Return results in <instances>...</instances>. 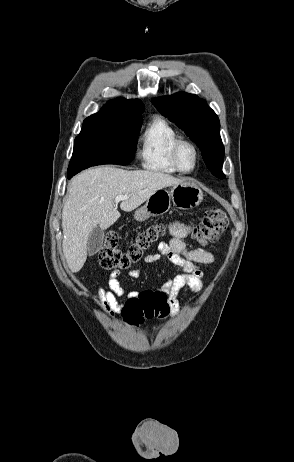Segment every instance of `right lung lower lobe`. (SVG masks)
<instances>
[{
	"label": "right lung lower lobe",
	"mask_w": 294,
	"mask_h": 462,
	"mask_svg": "<svg viewBox=\"0 0 294 462\" xmlns=\"http://www.w3.org/2000/svg\"><path fill=\"white\" fill-rule=\"evenodd\" d=\"M75 174L68 175V179L72 178Z\"/></svg>",
	"instance_id": "1"
}]
</instances>
